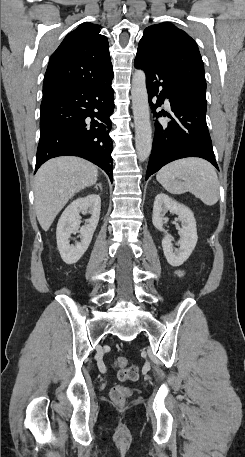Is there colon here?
<instances>
[{
    "label": "colon",
    "mask_w": 245,
    "mask_h": 457,
    "mask_svg": "<svg viewBox=\"0 0 245 457\" xmlns=\"http://www.w3.org/2000/svg\"><path fill=\"white\" fill-rule=\"evenodd\" d=\"M118 368V378L121 381L135 380L138 377V368L134 365L128 366V361L125 357H118L114 363ZM130 394V390L121 385L114 386L110 390V398L117 405H123Z\"/></svg>",
    "instance_id": "1"
}]
</instances>
